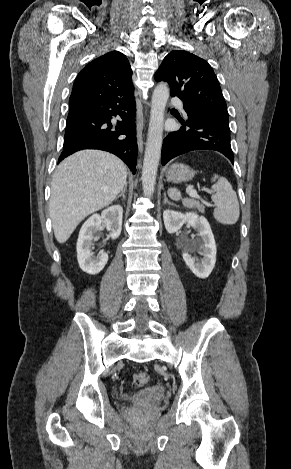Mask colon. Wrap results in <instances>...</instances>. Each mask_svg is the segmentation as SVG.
Segmentation results:
<instances>
[{
  "instance_id": "obj_1",
  "label": "colon",
  "mask_w": 291,
  "mask_h": 469,
  "mask_svg": "<svg viewBox=\"0 0 291 469\" xmlns=\"http://www.w3.org/2000/svg\"><path fill=\"white\" fill-rule=\"evenodd\" d=\"M149 381H150V376L148 375V373L144 371L138 372L134 374L133 376V383L137 387L145 386L149 383Z\"/></svg>"
}]
</instances>
